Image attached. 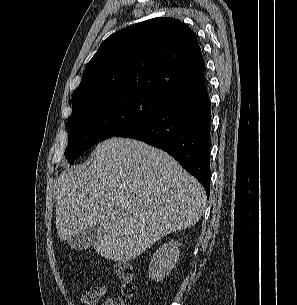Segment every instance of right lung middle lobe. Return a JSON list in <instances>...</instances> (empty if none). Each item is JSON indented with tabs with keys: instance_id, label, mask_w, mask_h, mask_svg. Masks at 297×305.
I'll return each instance as SVG.
<instances>
[{
	"instance_id": "obj_1",
	"label": "right lung middle lobe",
	"mask_w": 297,
	"mask_h": 305,
	"mask_svg": "<svg viewBox=\"0 0 297 305\" xmlns=\"http://www.w3.org/2000/svg\"><path fill=\"white\" fill-rule=\"evenodd\" d=\"M167 98L150 93H124L105 97L72 111L67 120L66 155L71 164L84 151L143 121Z\"/></svg>"
}]
</instances>
